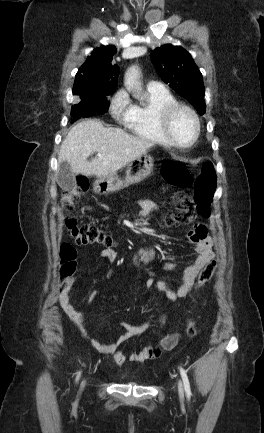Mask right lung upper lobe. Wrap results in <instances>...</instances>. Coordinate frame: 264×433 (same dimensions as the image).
I'll list each match as a JSON object with an SVG mask.
<instances>
[{"mask_svg": "<svg viewBox=\"0 0 264 433\" xmlns=\"http://www.w3.org/2000/svg\"><path fill=\"white\" fill-rule=\"evenodd\" d=\"M116 52L110 45L95 49L75 76L73 95L86 98L113 93L119 74V67L111 63Z\"/></svg>", "mask_w": 264, "mask_h": 433, "instance_id": "cb5924a9", "label": "right lung upper lobe"}]
</instances>
